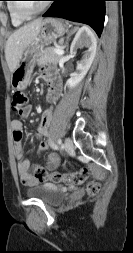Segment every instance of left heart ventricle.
<instances>
[{
	"label": "left heart ventricle",
	"mask_w": 133,
	"mask_h": 253,
	"mask_svg": "<svg viewBox=\"0 0 133 253\" xmlns=\"http://www.w3.org/2000/svg\"><path fill=\"white\" fill-rule=\"evenodd\" d=\"M43 1L21 2L20 6L27 12H33L43 5Z\"/></svg>",
	"instance_id": "left-heart-ventricle-1"
}]
</instances>
